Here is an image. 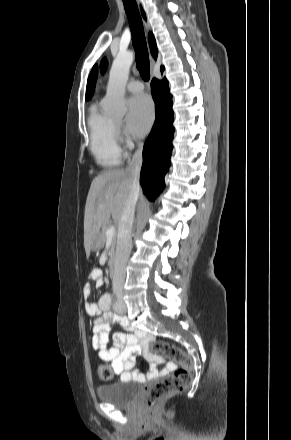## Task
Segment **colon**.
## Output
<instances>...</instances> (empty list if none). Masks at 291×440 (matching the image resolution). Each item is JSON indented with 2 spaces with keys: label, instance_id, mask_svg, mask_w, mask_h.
<instances>
[{
  "label": "colon",
  "instance_id": "obj_1",
  "mask_svg": "<svg viewBox=\"0 0 291 440\" xmlns=\"http://www.w3.org/2000/svg\"><path fill=\"white\" fill-rule=\"evenodd\" d=\"M148 354L152 357L174 360L179 368L172 374L151 386L145 396V404L150 408L157 407L162 400L187 388L193 379V363L191 358L175 345L164 341H153L148 346ZM96 375L100 381H109L113 370L109 364L98 366Z\"/></svg>",
  "mask_w": 291,
  "mask_h": 440
}]
</instances>
